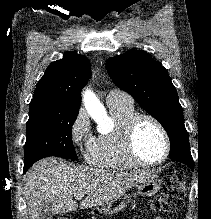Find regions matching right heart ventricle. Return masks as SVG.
I'll use <instances>...</instances> for the list:
<instances>
[{"mask_svg":"<svg viewBox=\"0 0 211 219\" xmlns=\"http://www.w3.org/2000/svg\"><path fill=\"white\" fill-rule=\"evenodd\" d=\"M113 122L112 129L94 137L87 147L86 159L93 166L128 170L136 165L127 157L123 146V131L127 121L136 114L132 103L118 102L108 104Z\"/></svg>","mask_w":211,"mask_h":219,"instance_id":"right-heart-ventricle-1","label":"right heart ventricle"}]
</instances>
